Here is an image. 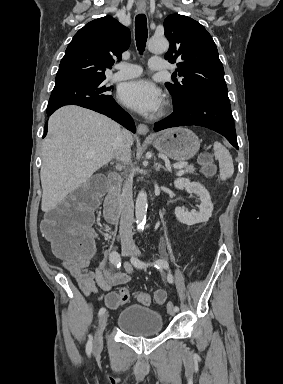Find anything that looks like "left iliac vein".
<instances>
[{"instance_id":"obj_1","label":"left iliac vein","mask_w":283,"mask_h":384,"mask_svg":"<svg viewBox=\"0 0 283 384\" xmlns=\"http://www.w3.org/2000/svg\"><path fill=\"white\" fill-rule=\"evenodd\" d=\"M131 255H132L133 259H137V257L140 256V252L137 249L133 248ZM132 264H133V261H132ZM167 309H168V313L171 316L175 315L176 312H175L173 304L171 302L168 303Z\"/></svg>"}]
</instances>
